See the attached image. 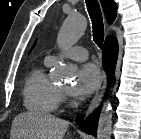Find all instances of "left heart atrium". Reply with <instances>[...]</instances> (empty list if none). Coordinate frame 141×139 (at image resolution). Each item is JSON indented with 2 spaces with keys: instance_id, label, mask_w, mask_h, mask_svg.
I'll return each instance as SVG.
<instances>
[{
  "instance_id": "obj_1",
  "label": "left heart atrium",
  "mask_w": 141,
  "mask_h": 139,
  "mask_svg": "<svg viewBox=\"0 0 141 139\" xmlns=\"http://www.w3.org/2000/svg\"><path fill=\"white\" fill-rule=\"evenodd\" d=\"M100 84V72L96 65L88 63L82 65L71 88V94L77 99L90 96Z\"/></svg>"
}]
</instances>
